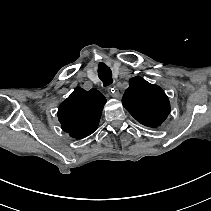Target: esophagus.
<instances>
[{
	"mask_svg": "<svg viewBox=\"0 0 211 211\" xmlns=\"http://www.w3.org/2000/svg\"><path fill=\"white\" fill-rule=\"evenodd\" d=\"M107 91L114 98H120L121 97V93L119 92L118 88H116V87H114V88L109 87L107 89Z\"/></svg>",
	"mask_w": 211,
	"mask_h": 211,
	"instance_id": "obj_1",
	"label": "esophagus"
}]
</instances>
